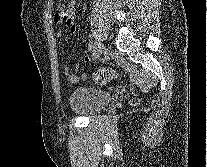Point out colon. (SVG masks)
I'll list each match as a JSON object with an SVG mask.
<instances>
[{
	"label": "colon",
	"mask_w": 207,
	"mask_h": 167,
	"mask_svg": "<svg viewBox=\"0 0 207 167\" xmlns=\"http://www.w3.org/2000/svg\"><path fill=\"white\" fill-rule=\"evenodd\" d=\"M116 72L109 68H99L93 73V80L95 83L104 85L107 84L114 76Z\"/></svg>",
	"instance_id": "colon-1"
}]
</instances>
